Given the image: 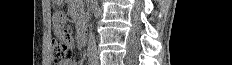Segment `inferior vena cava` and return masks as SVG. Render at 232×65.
Returning <instances> with one entry per match:
<instances>
[{"label":"inferior vena cava","instance_id":"1","mask_svg":"<svg viewBox=\"0 0 232 65\" xmlns=\"http://www.w3.org/2000/svg\"><path fill=\"white\" fill-rule=\"evenodd\" d=\"M87 55L90 61H96L98 59L97 46L94 34L91 33L87 44Z\"/></svg>","mask_w":232,"mask_h":65}]
</instances>
